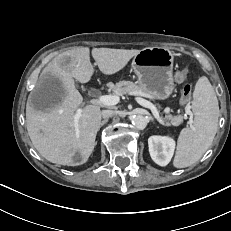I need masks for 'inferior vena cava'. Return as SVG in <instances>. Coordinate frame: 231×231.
Wrapping results in <instances>:
<instances>
[{"label": "inferior vena cava", "instance_id": "602c4592", "mask_svg": "<svg viewBox=\"0 0 231 231\" xmlns=\"http://www.w3.org/2000/svg\"><path fill=\"white\" fill-rule=\"evenodd\" d=\"M117 114V111L114 110H103L102 111V117L104 119H108L109 117H112Z\"/></svg>", "mask_w": 231, "mask_h": 231}]
</instances>
